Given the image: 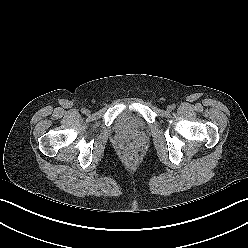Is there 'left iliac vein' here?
Listing matches in <instances>:
<instances>
[{
  "mask_svg": "<svg viewBox=\"0 0 248 248\" xmlns=\"http://www.w3.org/2000/svg\"><path fill=\"white\" fill-rule=\"evenodd\" d=\"M167 111H172V107H171V105H169V106H167Z\"/></svg>",
  "mask_w": 248,
  "mask_h": 248,
  "instance_id": "1",
  "label": "left iliac vein"
}]
</instances>
